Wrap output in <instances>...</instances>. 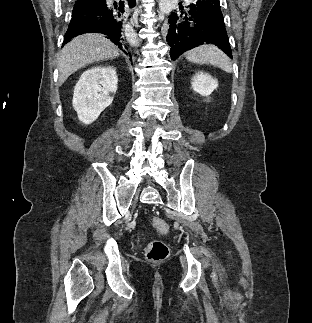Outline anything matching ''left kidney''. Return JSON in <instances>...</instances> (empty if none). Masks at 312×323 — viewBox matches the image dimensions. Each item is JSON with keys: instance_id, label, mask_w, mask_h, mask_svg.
Here are the masks:
<instances>
[{"instance_id": "5707ae66", "label": "left kidney", "mask_w": 312, "mask_h": 323, "mask_svg": "<svg viewBox=\"0 0 312 323\" xmlns=\"http://www.w3.org/2000/svg\"><path fill=\"white\" fill-rule=\"evenodd\" d=\"M217 86V80H214L210 74H205V72H197L192 80L194 92H198L201 96H210Z\"/></svg>"}]
</instances>
